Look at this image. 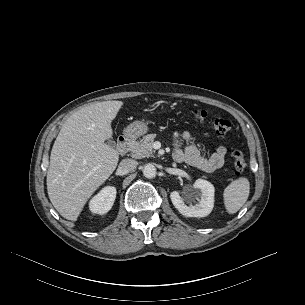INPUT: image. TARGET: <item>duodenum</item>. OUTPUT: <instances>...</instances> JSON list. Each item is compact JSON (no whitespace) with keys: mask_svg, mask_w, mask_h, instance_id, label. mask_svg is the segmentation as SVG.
Segmentation results:
<instances>
[{"mask_svg":"<svg viewBox=\"0 0 305 305\" xmlns=\"http://www.w3.org/2000/svg\"><path fill=\"white\" fill-rule=\"evenodd\" d=\"M133 139L129 136H123L118 140L117 143V151L120 154H125L129 151V149L131 148Z\"/></svg>","mask_w":305,"mask_h":305,"instance_id":"410a0bca","label":"duodenum"}]
</instances>
